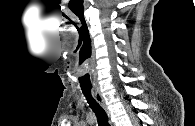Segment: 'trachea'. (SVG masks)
I'll return each instance as SVG.
<instances>
[{
  "label": "trachea",
  "mask_w": 195,
  "mask_h": 126,
  "mask_svg": "<svg viewBox=\"0 0 195 126\" xmlns=\"http://www.w3.org/2000/svg\"><path fill=\"white\" fill-rule=\"evenodd\" d=\"M82 92L97 117L99 126H110L108 122V116L103 107L94 99L91 93V87H82Z\"/></svg>",
  "instance_id": "obj_1"
}]
</instances>
